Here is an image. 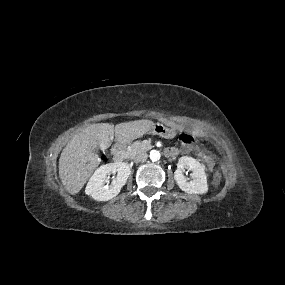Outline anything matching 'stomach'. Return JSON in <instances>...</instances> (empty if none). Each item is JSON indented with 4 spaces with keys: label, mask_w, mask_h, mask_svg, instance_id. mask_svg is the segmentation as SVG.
Masks as SVG:
<instances>
[{
    "label": "stomach",
    "mask_w": 285,
    "mask_h": 285,
    "mask_svg": "<svg viewBox=\"0 0 285 285\" xmlns=\"http://www.w3.org/2000/svg\"><path fill=\"white\" fill-rule=\"evenodd\" d=\"M151 133L160 135L162 137H169L173 133V130L163 124H156L154 128L151 129Z\"/></svg>",
    "instance_id": "obj_1"
}]
</instances>
